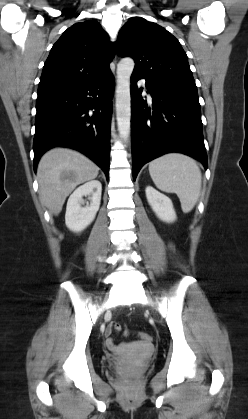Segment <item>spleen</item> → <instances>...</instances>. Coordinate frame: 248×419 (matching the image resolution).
I'll use <instances>...</instances> for the list:
<instances>
[{
    "label": "spleen",
    "mask_w": 248,
    "mask_h": 419,
    "mask_svg": "<svg viewBox=\"0 0 248 419\" xmlns=\"http://www.w3.org/2000/svg\"><path fill=\"white\" fill-rule=\"evenodd\" d=\"M149 173L158 189L177 194L184 213L194 208L202 184L201 171L194 159L169 153L150 162Z\"/></svg>",
    "instance_id": "spleen-1"
}]
</instances>
